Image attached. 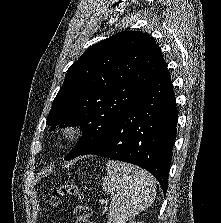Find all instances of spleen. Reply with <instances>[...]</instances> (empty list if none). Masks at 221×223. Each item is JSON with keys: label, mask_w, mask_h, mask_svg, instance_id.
Listing matches in <instances>:
<instances>
[{"label": "spleen", "mask_w": 221, "mask_h": 223, "mask_svg": "<svg viewBox=\"0 0 221 223\" xmlns=\"http://www.w3.org/2000/svg\"><path fill=\"white\" fill-rule=\"evenodd\" d=\"M106 170L103 190L111 198L107 223H126L153 203L155 180L147 171L115 160L106 163Z\"/></svg>", "instance_id": "obj_1"}]
</instances>
